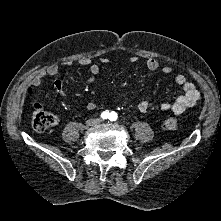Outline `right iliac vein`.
<instances>
[{"label": "right iliac vein", "mask_w": 221, "mask_h": 221, "mask_svg": "<svg viewBox=\"0 0 221 221\" xmlns=\"http://www.w3.org/2000/svg\"><path fill=\"white\" fill-rule=\"evenodd\" d=\"M95 123H96V121L94 119H89V120L86 121L87 126H92Z\"/></svg>", "instance_id": "1"}]
</instances>
